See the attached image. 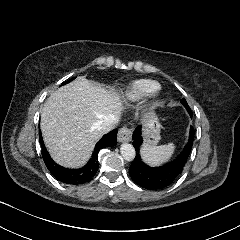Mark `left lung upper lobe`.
Segmentation results:
<instances>
[{"label": "left lung upper lobe", "mask_w": 240, "mask_h": 240, "mask_svg": "<svg viewBox=\"0 0 240 240\" xmlns=\"http://www.w3.org/2000/svg\"><path fill=\"white\" fill-rule=\"evenodd\" d=\"M181 103L184 105V107L187 109V111L189 112V114L192 116V112L190 111V108L186 102L185 99L181 100Z\"/></svg>", "instance_id": "1"}]
</instances>
